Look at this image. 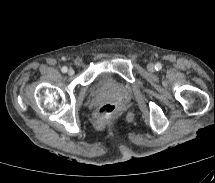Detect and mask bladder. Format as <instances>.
Here are the masks:
<instances>
[{"instance_id": "bladder-1", "label": "bladder", "mask_w": 215, "mask_h": 183, "mask_svg": "<svg viewBox=\"0 0 215 183\" xmlns=\"http://www.w3.org/2000/svg\"><path fill=\"white\" fill-rule=\"evenodd\" d=\"M107 85V76L102 75L96 78L89 87L88 93L92 95L96 93L98 90Z\"/></svg>"}]
</instances>
